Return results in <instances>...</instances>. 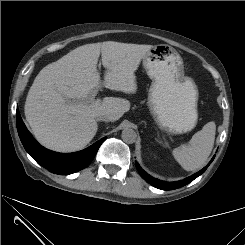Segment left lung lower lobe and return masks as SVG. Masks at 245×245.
Masks as SVG:
<instances>
[{"label":"left lung lower lobe","instance_id":"obj_1","mask_svg":"<svg viewBox=\"0 0 245 245\" xmlns=\"http://www.w3.org/2000/svg\"><path fill=\"white\" fill-rule=\"evenodd\" d=\"M214 157L211 159V161L208 163V165L206 167H204L202 170H200L196 174H194V175H192V176H190L184 180L177 181V182H164V181L155 179L154 177L147 174L144 170H142V168L138 165L137 162H136V167H137V170H138L139 174L141 175V177L143 179H145L148 183H150L152 186H154L158 189H162V190H173V189L180 188V187L190 183L191 181L196 179L198 176H200L202 173H204L205 170L207 169V167L213 161Z\"/></svg>","mask_w":245,"mask_h":245}]
</instances>
